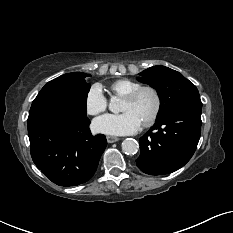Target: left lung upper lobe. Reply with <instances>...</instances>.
Returning <instances> with one entry per match:
<instances>
[{
  "label": "left lung upper lobe",
  "mask_w": 233,
  "mask_h": 233,
  "mask_svg": "<svg viewBox=\"0 0 233 233\" xmlns=\"http://www.w3.org/2000/svg\"><path fill=\"white\" fill-rule=\"evenodd\" d=\"M137 79L157 90L161 103L158 117L181 108H202L196 86L173 69L153 66L142 71Z\"/></svg>",
  "instance_id": "1"
}]
</instances>
